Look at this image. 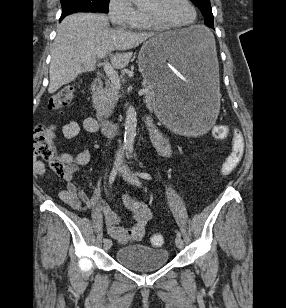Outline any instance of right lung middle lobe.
<instances>
[{"label":"right lung middle lobe","mask_w":286,"mask_h":308,"mask_svg":"<svg viewBox=\"0 0 286 308\" xmlns=\"http://www.w3.org/2000/svg\"><path fill=\"white\" fill-rule=\"evenodd\" d=\"M110 0H61L62 16L74 12H108Z\"/></svg>","instance_id":"obj_1"}]
</instances>
